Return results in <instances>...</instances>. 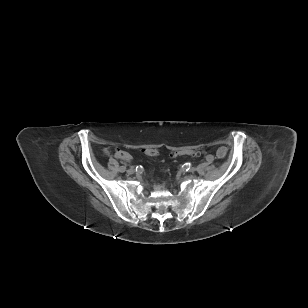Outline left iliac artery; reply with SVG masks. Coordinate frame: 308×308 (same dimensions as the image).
Segmentation results:
<instances>
[{
  "mask_svg": "<svg viewBox=\"0 0 308 308\" xmlns=\"http://www.w3.org/2000/svg\"><path fill=\"white\" fill-rule=\"evenodd\" d=\"M207 161L208 162L214 161V156H207Z\"/></svg>",
  "mask_w": 308,
  "mask_h": 308,
  "instance_id": "left-iliac-artery-1",
  "label": "left iliac artery"
}]
</instances>
